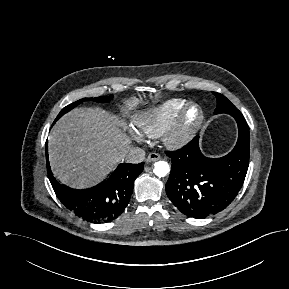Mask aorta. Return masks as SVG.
<instances>
[{"instance_id": "aorta-1", "label": "aorta", "mask_w": 289, "mask_h": 289, "mask_svg": "<svg viewBox=\"0 0 289 289\" xmlns=\"http://www.w3.org/2000/svg\"><path fill=\"white\" fill-rule=\"evenodd\" d=\"M170 171L169 164L165 161H158L154 163L153 172L158 177L166 176Z\"/></svg>"}]
</instances>
